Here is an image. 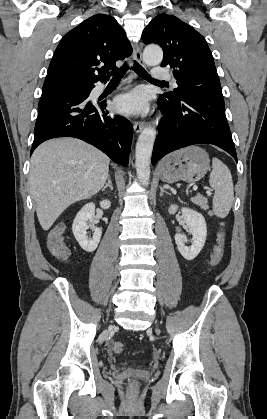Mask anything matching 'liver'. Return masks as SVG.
Here are the masks:
<instances>
[{
    "label": "liver",
    "mask_w": 267,
    "mask_h": 419,
    "mask_svg": "<svg viewBox=\"0 0 267 419\" xmlns=\"http://www.w3.org/2000/svg\"><path fill=\"white\" fill-rule=\"evenodd\" d=\"M110 159L76 138L48 140L31 157L30 190L41 227L47 231L71 204L104 186Z\"/></svg>",
    "instance_id": "1"
}]
</instances>
